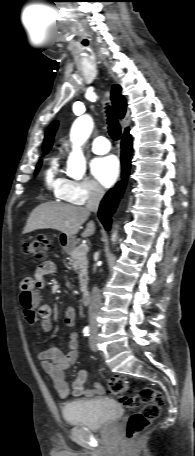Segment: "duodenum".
Masks as SVG:
<instances>
[{
    "label": "duodenum",
    "mask_w": 195,
    "mask_h": 456,
    "mask_svg": "<svg viewBox=\"0 0 195 456\" xmlns=\"http://www.w3.org/2000/svg\"><path fill=\"white\" fill-rule=\"evenodd\" d=\"M81 300L84 304H88L90 302V292L87 289H84L81 292Z\"/></svg>",
    "instance_id": "obj_1"
}]
</instances>
